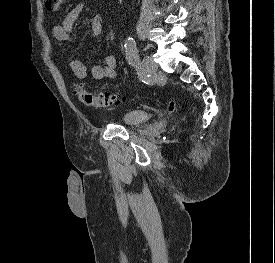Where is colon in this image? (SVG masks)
I'll return each mask as SVG.
<instances>
[{
  "instance_id": "1",
  "label": "colon",
  "mask_w": 275,
  "mask_h": 263,
  "mask_svg": "<svg viewBox=\"0 0 275 263\" xmlns=\"http://www.w3.org/2000/svg\"><path fill=\"white\" fill-rule=\"evenodd\" d=\"M63 0H45V7L47 10L56 12L61 8ZM74 95L78 98L80 102L87 106L95 107V108H109L113 106L120 105L124 100L118 95L109 94V93H101L96 94L90 92L86 89L85 85L82 83H75L72 87ZM167 108L172 111L175 109L174 102H168Z\"/></svg>"
}]
</instances>
